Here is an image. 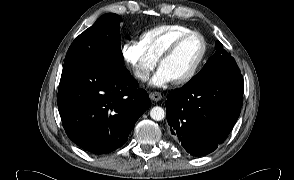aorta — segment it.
Returning a JSON list of instances; mask_svg holds the SVG:
<instances>
[{
	"label": "aorta",
	"instance_id": "762f6f07",
	"mask_svg": "<svg viewBox=\"0 0 294 180\" xmlns=\"http://www.w3.org/2000/svg\"><path fill=\"white\" fill-rule=\"evenodd\" d=\"M150 117L155 121H161L165 117V111L162 107L155 106L150 110Z\"/></svg>",
	"mask_w": 294,
	"mask_h": 180
}]
</instances>
